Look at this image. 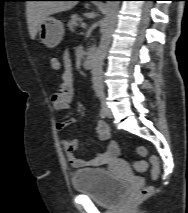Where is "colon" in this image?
I'll return each instance as SVG.
<instances>
[{"label":"colon","instance_id":"1","mask_svg":"<svg viewBox=\"0 0 188 213\" xmlns=\"http://www.w3.org/2000/svg\"><path fill=\"white\" fill-rule=\"evenodd\" d=\"M60 66H61L60 61L57 58L51 59V67L54 70H59ZM137 153L139 156H145L147 154V148L144 146H139L137 148ZM150 163L152 165V176L153 178H156L158 177L160 171L159 160L157 157L152 156L150 158ZM134 166L135 169L139 172H142L146 169V164L143 161H137ZM151 192L152 189L150 187H143L136 194L133 195L132 201L133 202L141 201L147 198L151 194Z\"/></svg>","mask_w":188,"mask_h":213}]
</instances>
